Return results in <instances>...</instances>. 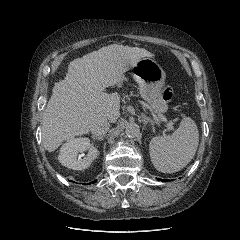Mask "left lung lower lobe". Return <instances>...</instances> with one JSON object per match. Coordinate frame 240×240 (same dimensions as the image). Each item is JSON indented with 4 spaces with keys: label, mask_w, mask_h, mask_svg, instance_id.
<instances>
[{
    "label": "left lung lower lobe",
    "mask_w": 240,
    "mask_h": 240,
    "mask_svg": "<svg viewBox=\"0 0 240 240\" xmlns=\"http://www.w3.org/2000/svg\"><path fill=\"white\" fill-rule=\"evenodd\" d=\"M157 180H158V181H162V182L166 181V180H164V179H159V178H158Z\"/></svg>",
    "instance_id": "0a47b994"
}]
</instances>
